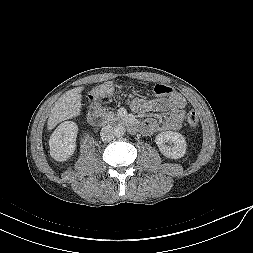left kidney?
I'll return each instance as SVG.
<instances>
[{
	"label": "left kidney",
	"mask_w": 253,
	"mask_h": 253,
	"mask_svg": "<svg viewBox=\"0 0 253 253\" xmlns=\"http://www.w3.org/2000/svg\"><path fill=\"white\" fill-rule=\"evenodd\" d=\"M155 143L160 152L167 158L179 159L186 153V140L184 136L178 132H162L156 136ZM166 143H169V145Z\"/></svg>",
	"instance_id": "5707ae66"
}]
</instances>
